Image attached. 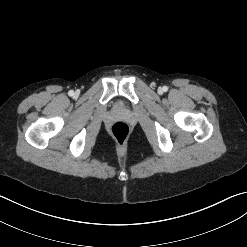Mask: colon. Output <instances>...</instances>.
Segmentation results:
<instances>
[{"label": "colon", "mask_w": 247, "mask_h": 247, "mask_svg": "<svg viewBox=\"0 0 247 247\" xmlns=\"http://www.w3.org/2000/svg\"><path fill=\"white\" fill-rule=\"evenodd\" d=\"M111 133L118 143L123 144L130 133L129 125L121 121L116 122L111 127Z\"/></svg>", "instance_id": "colon-1"}]
</instances>
